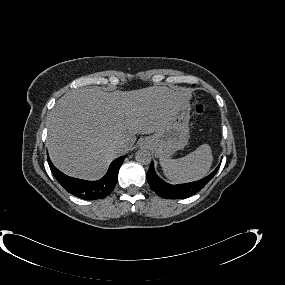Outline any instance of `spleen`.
Returning <instances> with one entry per match:
<instances>
[{
    "label": "spleen",
    "mask_w": 285,
    "mask_h": 285,
    "mask_svg": "<svg viewBox=\"0 0 285 285\" xmlns=\"http://www.w3.org/2000/svg\"><path fill=\"white\" fill-rule=\"evenodd\" d=\"M213 162L211 147L203 144L179 159H160L164 175L175 183L199 180L207 175Z\"/></svg>",
    "instance_id": "1"
}]
</instances>
